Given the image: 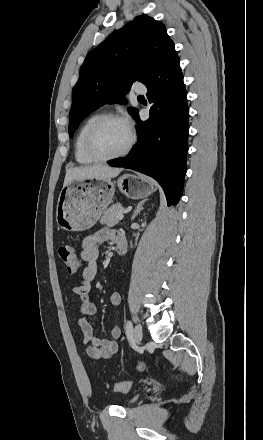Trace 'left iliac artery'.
<instances>
[{
	"label": "left iliac artery",
	"mask_w": 263,
	"mask_h": 440,
	"mask_svg": "<svg viewBox=\"0 0 263 440\" xmlns=\"http://www.w3.org/2000/svg\"><path fill=\"white\" fill-rule=\"evenodd\" d=\"M132 332H133V325L132 322L128 320L125 326V333L128 339L132 338Z\"/></svg>",
	"instance_id": "obj_1"
}]
</instances>
